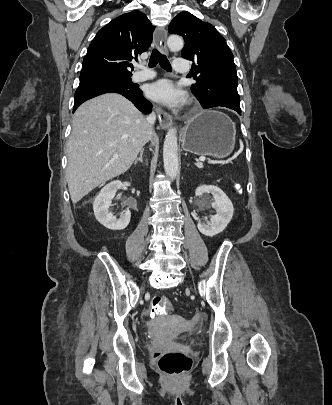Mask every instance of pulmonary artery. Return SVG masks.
<instances>
[{
	"label": "pulmonary artery",
	"instance_id": "pulmonary-artery-1",
	"mask_svg": "<svg viewBox=\"0 0 332 405\" xmlns=\"http://www.w3.org/2000/svg\"><path fill=\"white\" fill-rule=\"evenodd\" d=\"M174 70L180 74H187L190 70L187 60L183 58H178L174 61ZM155 76L154 72L151 70L138 71L133 75V81L141 82L146 81Z\"/></svg>",
	"mask_w": 332,
	"mask_h": 405
}]
</instances>
